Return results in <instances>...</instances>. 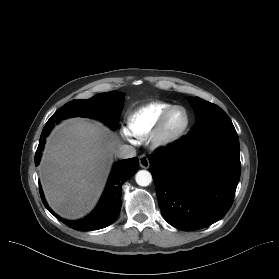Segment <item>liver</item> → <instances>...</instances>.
<instances>
[{
    "instance_id": "6515ba94",
    "label": "liver",
    "mask_w": 279,
    "mask_h": 279,
    "mask_svg": "<svg viewBox=\"0 0 279 279\" xmlns=\"http://www.w3.org/2000/svg\"><path fill=\"white\" fill-rule=\"evenodd\" d=\"M118 147L117 135L100 122L72 118L57 125L39 168L50 207L67 219L86 215L103 191Z\"/></svg>"
}]
</instances>
